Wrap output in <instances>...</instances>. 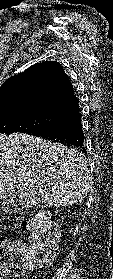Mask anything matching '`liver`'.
<instances>
[{
  "mask_svg": "<svg viewBox=\"0 0 113 279\" xmlns=\"http://www.w3.org/2000/svg\"><path fill=\"white\" fill-rule=\"evenodd\" d=\"M92 184L88 159L76 148L25 133L0 134V199L10 206L72 205Z\"/></svg>",
  "mask_w": 113,
  "mask_h": 279,
  "instance_id": "obj_1",
  "label": "liver"
}]
</instances>
